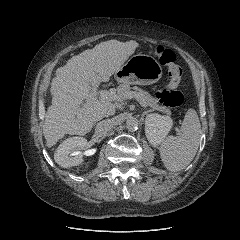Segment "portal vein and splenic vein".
Segmentation results:
<instances>
[{
  "mask_svg": "<svg viewBox=\"0 0 240 240\" xmlns=\"http://www.w3.org/2000/svg\"><path fill=\"white\" fill-rule=\"evenodd\" d=\"M97 93H98L97 92V87L94 86L92 88V93L87 98V102L95 101L97 99ZM100 97H102V98L116 97L117 98L118 96L115 95V93L110 90V91H102V92H100ZM126 98L127 99L135 98L141 104V106H143V107L147 106L143 101H141L140 97L137 94H133L132 92H128L126 94Z\"/></svg>",
  "mask_w": 240,
  "mask_h": 240,
  "instance_id": "18ae733b",
  "label": "portal vein and splenic vein"
}]
</instances>
